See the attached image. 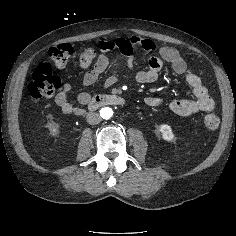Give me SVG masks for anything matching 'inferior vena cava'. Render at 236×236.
<instances>
[{"mask_svg": "<svg viewBox=\"0 0 236 236\" xmlns=\"http://www.w3.org/2000/svg\"><path fill=\"white\" fill-rule=\"evenodd\" d=\"M86 118H87V122L90 125H96V124L100 123V121H101L100 115L96 112L88 113Z\"/></svg>", "mask_w": 236, "mask_h": 236, "instance_id": "1", "label": "inferior vena cava"}]
</instances>
